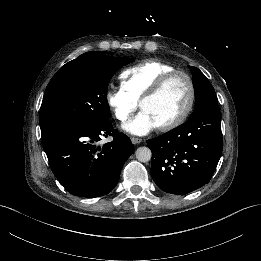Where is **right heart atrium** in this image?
I'll return each mask as SVG.
<instances>
[{
	"mask_svg": "<svg viewBox=\"0 0 261 261\" xmlns=\"http://www.w3.org/2000/svg\"><path fill=\"white\" fill-rule=\"evenodd\" d=\"M106 102L113 111L117 120L127 123L138 108V102L133 100L121 88L109 90L106 93Z\"/></svg>",
	"mask_w": 261,
	"mask_h": 261,
	"instance_id": "obj_1",
	"label": "right heart atrium"
}]
</instances>
